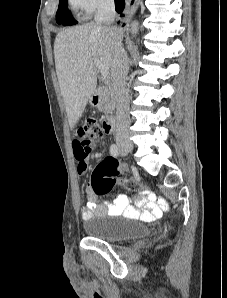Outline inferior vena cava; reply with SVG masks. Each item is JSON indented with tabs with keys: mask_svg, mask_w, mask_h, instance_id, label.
I'll list each match as a JSON object with an SVG mask.
<instances>
[{
	"mask_svg": "<svg viewBox=\"0 0 227 298\" xmlns=\"http://www.w3.org/2000/svg\"><path fill=\"white\" fill-rule=\"evenodd\" d=\"M115 19L114 0H101L98 11L95 14V24L105 31H112V23ZM129 71L128 55L123 48L121 39H116L113 45V64L111 69V81L116 101L117 126L115 139L117 142L129 139V91L126 77Z\"/></svg>",
	"mask_w": 227,
	"mask_h": 298,
	"instance_id": "602c4592",
	"label": "inferior vena cava"
}]
</instances>
